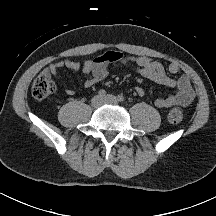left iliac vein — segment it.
I'll list each match as a JSON object with an SVG mask.
<instances>
[{
  "mask_svg": "<svg viewBox=\"0 0 216 216\" xmlns=\"http://www.w3.org/2000/svg\"><path fill=\"white\" fill-rule=\"evenodd\" d=\"M103 102L106 104H117L118 103V99L114 96V95H106L103 98Z\"/></svg>",
  "mask_w": 216,
  "mask_h": 216,
  "instance_id": "left-iliac-vein-1",
  "label": "left iliac vein"
}]
</instances>
